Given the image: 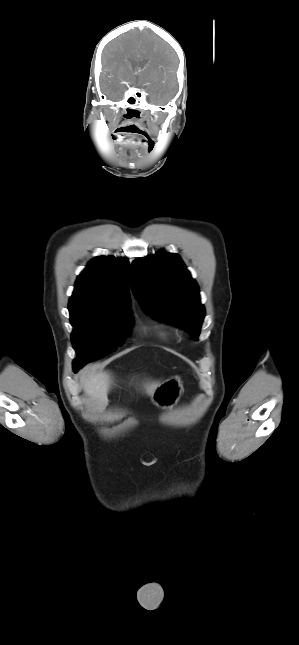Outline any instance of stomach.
<instances>
[{
    "label": "stomach",
    "mask_w": 299,
    "mask_h": 645,
    "mask_svg": "<svg viewBox=\"0 0 299 645\" xmlns=\"http://www.w3.org/2000/svg\"><path fill=\"white\" fill-rule=\"evenodd\" d=\"M183 392V382L180 377H172L161 383L153 392L151 400L160 408L174 406Z\"/></svg>",
    "instance_id": "1"
}]
</instances>
